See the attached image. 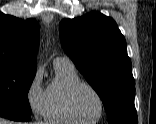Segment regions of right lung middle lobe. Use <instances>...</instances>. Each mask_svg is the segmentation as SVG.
Listing matches in <instances>:
<instances>
[{"mask_svg":"<svg viewBox=\"0 0 156 124\" xmlns=\"http://www.w3.org/2000/svg\"><path fill=\"white\" fill-rule=\"evenodd\" d=\"M36 71L0 66V109L31 115L28 91Z\"/></svg>","mask_w":156,"mask_h":124,"instance_id":"obj_1","label":"right lung middle lobe"}]
</instances>
